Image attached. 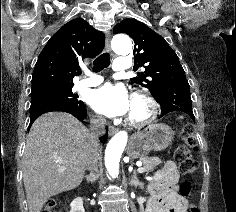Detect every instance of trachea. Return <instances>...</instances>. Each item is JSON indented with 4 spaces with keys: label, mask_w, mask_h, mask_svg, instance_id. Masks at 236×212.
I'll use <instances>...</instances> for the list:
<instances>
[{
    "label": "trachea",
    "mask_w": 236,
    "mask_h": 212,
    "mask_svg": "<svg viewBox=\"0 0 236 212\" xmlns=\"http://www.w3.org/2000/svg\"><path fill=\"white\" fill-rule=\"evenodd\" d=\"M93 71L94 72H100L104 68H107L110 65V57L108 53H103L99 55L93 62ZM78 74H81V71L78 72Z\"/></svg>",
    "instance_id": "3493384b"
}]
</instances>
